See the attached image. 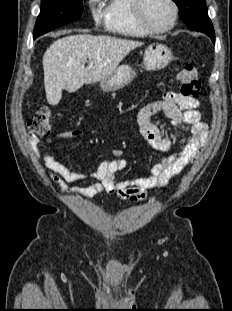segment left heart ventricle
Listing matches in <instances>:
<instances>
[{
	"label": "left heart ventricle",
	"instance_id": "b2bd125f",
	"mask_svg": "<svg viewBox=\"0 0 232 311\" xmlns=\"http://www.w3.org/2000/svg\"><path fill=\"white\" fill-rule=\"evenodd\" d=\"M143 12L146 21L156 28L167 26L173 17V9L168 0H145Z\"/></svg>",
	"mask_w": 232,
	"mask_h": 311
}]
</instances>
